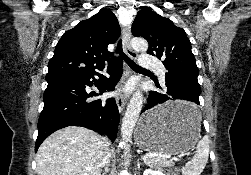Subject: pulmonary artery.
<instances>
[{
	"mask_svg": "<svg viewBox=\"0 0 251 175\" xmlns=\"http://www.w3.org/2000/svg\"><path fill=\"white\" fill-rule=\"evenodd\" d=\"M139 63H142V67L145 70H156V75H160V79H167V74H165V66L162 62H159V58H153L152 55H147V52H141L139 55Z\"/></svg>",
	"mask_w": 251,
	"mask_h": 175,
	"instance_id": "1",
	"label": "pulmonary artery"
}]
</instances>
